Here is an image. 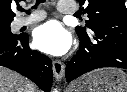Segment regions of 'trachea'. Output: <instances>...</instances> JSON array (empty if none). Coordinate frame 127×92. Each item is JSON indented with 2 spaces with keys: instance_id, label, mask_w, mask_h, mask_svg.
Segmentation results:
<instances>
[{
  "instance_id": "obj_1",
  "label": "trachea",
  "mask_w": 127,
  "mask_h": 92,
  "mask_svg": "<svg viewBox=\"0 0 127 92\" xmlns=\"http://www.w3.org/2000/svg\"><path fill=\"white\" fill-rule=\"evenodd\" d=\"M42 2H45V0H37L36 5L33 6V8H36ZM19 11H24V9L23 8H19ZM27 13L29 14L28 11H27ZM75 16H80V15L79 14H75Z\"/></svg>"
}]
</instances>
